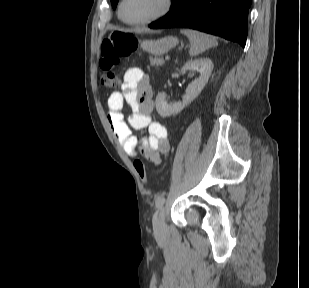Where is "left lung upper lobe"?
<instances>
[{"label": "left lung upper lobe", "mask_w": 309, "mask_h": 288, "mask_svg": "<svg viewBox=\"0 0 309 288\" xmlns=\"http://www.w3.org/2000/svg\"><path fill=\"white\" fill-rule=\"evenodd\" d=\"M118 1H119V0H111L113 9L116 8ZM175 1H176V0H172V4H173Z\"/></svg>", "instance_id": "1"}]
</instances>
